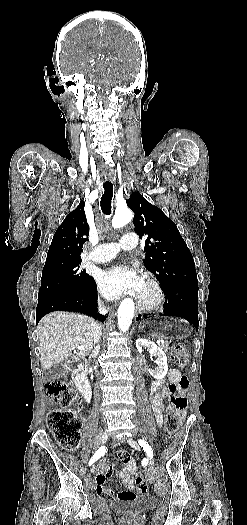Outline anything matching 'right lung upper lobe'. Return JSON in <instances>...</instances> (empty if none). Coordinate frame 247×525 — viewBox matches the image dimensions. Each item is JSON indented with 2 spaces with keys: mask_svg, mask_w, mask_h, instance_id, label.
Returning <instances> with one entry per match:
<instances>
[{
  "mask_svg": "<svg viewBox=\"0 0 247 525\" xmlns=\"http://www.w3.org/2000/svg\"><path fill=\"white\" fill-rule=\"evenodd\" d=\"M84 201L66 216L56 230L49 247L43 271L79 265L83 244L88 240L89 225L84 212Z\"/></svg>",
  "mask_w": 247,
  "mask_h": 525,
  "instance_id": "obj_1",
  "label": "right lung upper lobe"
}]
</instances>
